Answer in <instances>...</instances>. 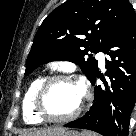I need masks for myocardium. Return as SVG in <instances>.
<instances>
[{"mask_svg":"<svg viewBox=\"0 0 136 136\" xmlns=\"http://www.w3.org/2000/svg\"><path fill=\"white\" fill-rule=\"evenodd\" d=\"M58 81L70 82V83H74V84H77L78 86H80V84L78 83L77 80H75L72 76L66 75V74H54V75L44 78V80L39 85V87L35 93L34 100H33V109H34L36 115L42 121H46V122H50V123L70 122V121L74 120L75 118H77L83 110L84 99H83V95H82L78 107L71 114H69L67 116L55 117V116L50 115L46 111L44 101H45L47 91L53 83L58 82Z\"/></svg>","mask_w":136,"mask_h":136,"instance_id":"myocardium-1","label":"myocardium"}]
</instances>
